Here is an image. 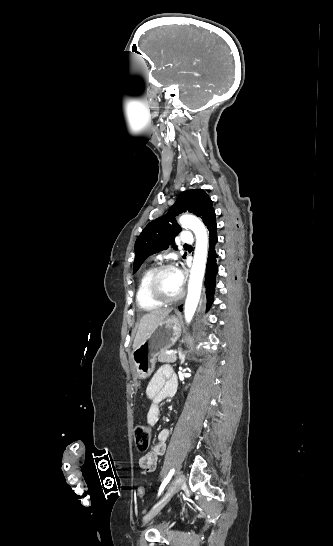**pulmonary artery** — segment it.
Returning a JSON list of instances; mask_svg holds the SVG:
<instances>
[{
	"instance_id": "1",
	"label": "pulmonary artery",
	"mask_w": 333,
	"mask_h": 546,
	"mask_svg": "<svg viewBox=\"0 0 333 546\" xmlns=\"http://www.w3.org/2000/svg\"><path fill=\"white\" fill-rule=\"evenodd\" d=\"M193 240H194L193 235H192V233L189 232V231H184V232H182L181 235H180V241H181L182 243L190 244V243L193 242Z\"/></svg>"
}]
</instances>
